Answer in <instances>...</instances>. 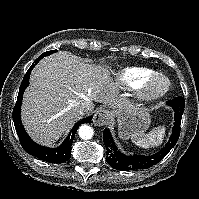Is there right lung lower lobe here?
I'll return each mask as SVG.
<instances>
[{"mask_svg":"<svg viewBox=\"0 0 199 199\" xmlns=\"http://www.w3.org/2000/svg\"><path fill=\"white\" fill-rule=\"evenodd\" d=\"M42 57L39 56L34 63L31 65V67L26 72L22 83L20 85L17 102L13 109V121L15 125L16 132L19 137V141L23 147V149L30 155H33L41 160L47 161L49 163H64L67 160H69L71 156V146L73 143V139L75 136V133L79 126L84 123H89L92 120V116L84 118L77 122L74 127L71 129L70 133L68 134L67 138L64 140V142L57 148H47L44 146H41L37 143H35L26 133L22 123H21V103L23 98V93L26 89V87L29 85V78L30 73L34 66L41 60Z\"/></svg>","mask_w":199,"mask_h":199,"instance_id":"1","label":"right lung lower lobe"}]
</instances>
